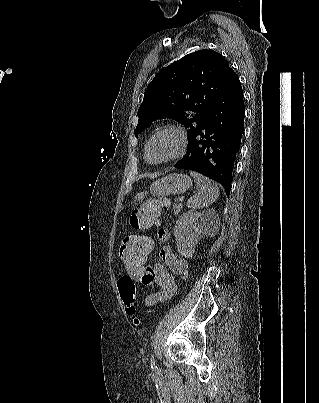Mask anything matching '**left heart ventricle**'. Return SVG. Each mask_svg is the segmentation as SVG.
I'll list each match as a JSON object with an SVG mask.
<instances>
[{"label": "left heart ventricle", "mask_w": 319, "mask_h": 403, "mask_svg": "<svg viewBox=\"0 0 319 403\" xmlns=\"http://www.w3.org/2000/svg\"><path fill=\"white\" fill-rule=\"evenodd\" d=\"M177 148V138L172 133L158 136L149 146L148 159L159 161L171 155Z\"/></svg>", "instance_id": "obj_1"}]
</instances>
